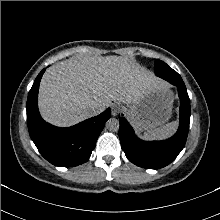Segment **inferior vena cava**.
<instances>
[{
	"label": "inferior vena cava",
	"mask_w": 220,
	"mask_h": 220,
	"mask_svg": "<svg viewBox=\"0 0 220 220\" xmlns=\"http://www.w3.org/2000/svg\"><path fill=\"white\" fill-rule=\"evenodd\" d=\"M103 111V107L97 104H91L87 107L86 112L89 117L96 116Z\"/></svg>",
	"instance_id": "1"
}]
</instances>
